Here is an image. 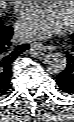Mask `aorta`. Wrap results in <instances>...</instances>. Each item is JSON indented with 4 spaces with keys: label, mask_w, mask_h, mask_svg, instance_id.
Listing matches in <instances>:
<instances>
[{
    "label": "aorta",
    "mask_w": 74,
    "mask_h": 122,
    "mask_svg": "<svg viewBox=\"0 0 74 122\" xmlns=\"http://www.w3.org/2000/svg\"><path fill=\"white\" fill-rule=\"evenodd\" d=\"M44 65L49 72L59 74L66 69L67 58L58 51H51L44 56Z\"/></svg>",
    "instance_id": "1"
}]
</instances>
